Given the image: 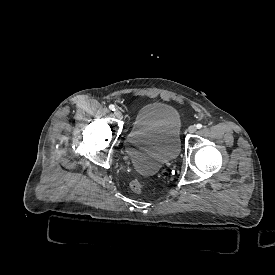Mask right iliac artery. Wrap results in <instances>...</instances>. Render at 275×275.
I'll list each match as a JSON object with an SVG mask.
<instances>
[{"instance_id":"obj_1","label":"right iliac artery","mask_w":275,"mask_h":275,"mask_svg":"<svg viewBox=\"0 0 275 275\" xmlns=\"http://www.w3.org/2000/svg\"><path fill=\"white\" fill-rule=\"evenodd\" d=\"M109 108L112 110V111H115L116 110V107L114 105H109Z\"/></svg>"}]
</instances>
